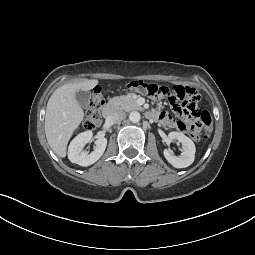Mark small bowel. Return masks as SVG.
<instances>
[{
  "label": "small bowel",
  "mask_w": 255,
  "mask_h": 255,
  "mask_svg": "<svg viewBox=\"0 0 255 255\" xmlns=\"http://www.w3.org/2000/svg\"><path fill=\"white\" fill-rule=\"evenodd\" d=\"M174 111L176 112V106L173 105ZM179 114L178 112H176ZM156 118L162 125L177 129L178 131L185 132V133H191L193 131L199 132V126L192 122L189 119H176L173 116H171L169 113L162 112V113H155Z\"/></svg>",
  "instance_id": "1"
}]
</instances>
